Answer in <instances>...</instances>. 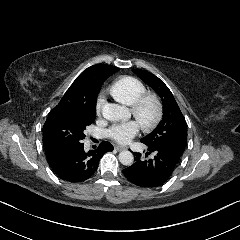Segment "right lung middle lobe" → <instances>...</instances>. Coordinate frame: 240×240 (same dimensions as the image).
Returning a JSON list of instances; mask_svg holds the SVG:
<instances>
[{"label": "right lung middle lobe", "instance_id": "obj_1", "mask_svg": "<svg viewBox=\"0 0 240 240\" xmlns=\"http://www.w3.org/2000/svg\"><path fill=\"white\" fill-rule=\"evenodd\" d=\"M96 116V105H77L54 108L43 127L44 148L52 146H77L85 138L86 126Z\"/></svg>", "mask_w": 240, "mask_h": 240}]
</instances>
